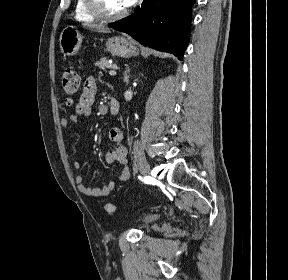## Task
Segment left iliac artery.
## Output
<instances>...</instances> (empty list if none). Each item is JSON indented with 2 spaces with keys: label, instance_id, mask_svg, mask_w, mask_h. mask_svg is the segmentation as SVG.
I'll use <instances>...</instances> for the list:
<instances>
[{
  "label": "left iliac artery",
  "instance_id": "left-iliac-artery-1",
  "mask_svg": "<svg viewBox=\"0 0 288 280\" xmlns=\"http://www.w3.org/2000/svg\"><path fill=\"white\" fill-rule=\"evenodd\" d=\"M136 178L138 179V183L142 184L143 183V175L142 174H137Z\"/></svg>",
  "mask_w": 288,
  "mask_h": 280
}]
</instances>
